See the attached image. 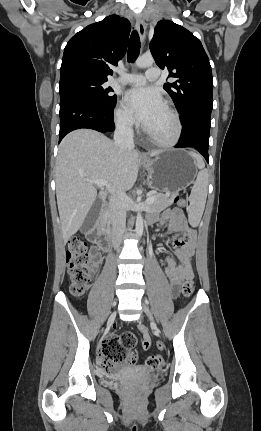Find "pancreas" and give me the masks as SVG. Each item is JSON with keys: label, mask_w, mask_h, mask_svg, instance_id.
<instances>
[{"label": "pancreas", "mask_w": 261, "mask_h": 431, "mask_svg": "<svg viewBox=\"0 0 261 431\" xmlns=\"http://www.w3.org/2000/svg\"><path fill=\"white\" fill-rule=\"evenodd\" d=\"M177 196L176 192H167L165 194L158 193L152 195L155 198L154 202L149 205L151 212H159L173 204L174 198Z\"/></svg>", "instance_id": "obj_1"}]
</instances>
